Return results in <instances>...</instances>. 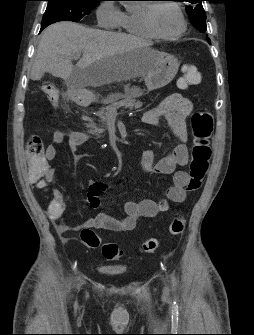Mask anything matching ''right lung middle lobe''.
Masks as SVG:
<instances>
[{
  "instance_id": "dd1d6c3e",
  "label": "right lung middle lobe",
  "mask_w": 254,
  "mask_h": 335,
  "mask_svg": "<svg viewBox=\"0 0 254 335\" xmlns=\"http://www.w3.org/2000/svg\"><path fill=\"white\" fill-rule=\"evenodd\" d=\"M48 6L42 19L46 26L58 21L78 22L85 15L90 14L101 0H46Z\"/></svg>"
}]
</instances>
